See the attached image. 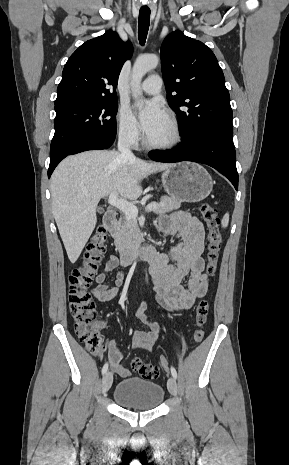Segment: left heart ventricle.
<instances>
[{
	"label": "left heart ventricle",
	"mask_w": 289,
	"mask_h": 465,
	"mask_svg": "<svg viewBox=\"0 0 289 465\" xmlns=\"http://www.w3.org/2000/svg\"><path fill=\"white\" fill-rule=\"evenodd\" d=\"M171 131L166 117L163 119L159 127L149 134L147 138L152 142H164L170 138Z\"/></svg>",
	"instance_id": "left-heart-ventricle-1"
}]
</instances>
